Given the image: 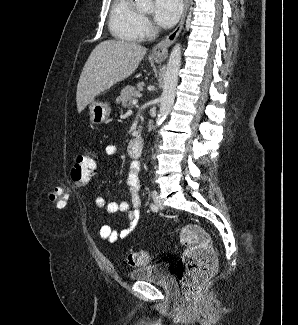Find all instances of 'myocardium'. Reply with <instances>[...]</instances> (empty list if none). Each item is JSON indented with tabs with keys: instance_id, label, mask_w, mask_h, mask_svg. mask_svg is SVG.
Here are the masks:
<instances>
[{
	"instance_id": "myocardium-1",
	"label": "myocardium",
	"mask_w": 298,
	"mask_h": 325,
	"mask_svg": "<svg viewBox=\"0 0 298 325\" xmlns=\"http://www.w3.org/2000/svg\"><path fill=\"white\" fill-rule=\"evenodd\" d=\"M135 7H136L137 12H138L140 15H144V14L146 13V11L143 10V9L140 7L139 2H137V3L135 4Z\"/></svg>"
}]
</instances>
